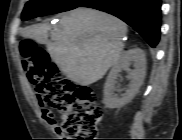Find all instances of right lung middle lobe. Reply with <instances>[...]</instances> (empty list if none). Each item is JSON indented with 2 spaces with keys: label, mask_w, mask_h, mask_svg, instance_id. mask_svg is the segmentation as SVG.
<instances>
[{
  "label": "right lung middle lobe",
  "mask_w": 182,
  "mask_h": 140,
  "mask_svg": "<svg viewBox=\"0 0 182 140\" xmlns=\"http://www.w3.org/2000/svg\"><path fill=\"white\" fill-rule=\"evenodd\" d=\"M86 0H30L22 12V20L69 11Z\"/></svg>",
  "instance_id": "obj_1"
}]
</instances>
